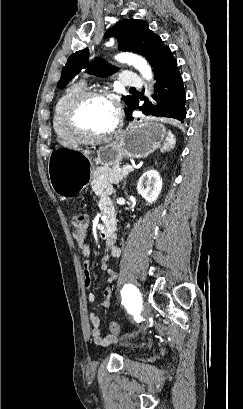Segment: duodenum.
Returning a JSON list of instances; mask_svg holds the SVG:
<instances>
[{"mask_svg":"<svg viewBox=\"0 0 243 409\" xmlns=\"http://www.w3.org/2000/svg\"><path fill=\"white\" fill-rule=\"evenodd\" d=\"M105 220L100 228V236L104 239H109L114 235L116 228L115 212L110 209H105Z\"/></svg>","mask_w":243,"mask_h":409,"instance_id":"obj_1","label":"duodenum"}]
</instances>
